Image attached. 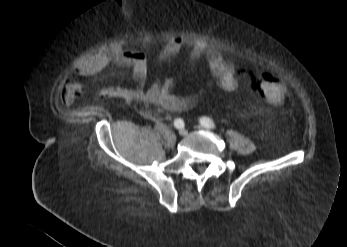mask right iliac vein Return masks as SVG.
Returning <instances> with one entry per match:
<instances>
[{
  "mask_svg": "<svg viewBox=\"0 0 347 247\" xmlns=\"http://www.w3.org/2000/svg\"><path fill=\"white\" fill-rule=\"evenodd\" d=\"M179 134H180L181 136H185V135L187 134V131H186L184 128H181V129L179 130Z\"/></svg>",
  "mask_w": 347,
  "mask_h": 247,
  "instance_id": "obj_1",
  "label": "right iliac vein"
}]
</instances>
